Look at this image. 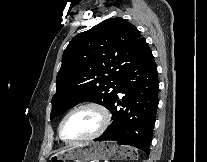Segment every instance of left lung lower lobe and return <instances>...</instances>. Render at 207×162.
<instances>
[{
  "instance_id": "left-lung-lower-lobe-1",
  "label": "left lung lower lobe",
  "mask_w": 207,
  "mask_h": 162,
  "mask_svg": "<svg viewBox=\"0 0 207 162\" xmlns=\"http://www.w3.org/2000/svg\"><path fill=\"white\" fill-rule=\"evenodd\" d=\"M157 66L151 50L135 64L120 83L117 93H124L123 102L118 96L111 104V126L95 140L117 141L150 153L155 115L159 103ZM116 104L122 108H117Z\"/></svg>"
}]
</instances>
